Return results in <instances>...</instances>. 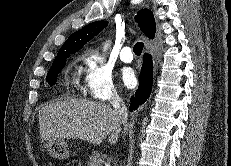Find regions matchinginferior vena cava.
Here are the masks:
<instances>
[{"label":"inferior vena cava","instance_id":"obj_1","mask_svg":"<svg viewBox=\"0 0 231 166\" xmlns=\"http://www.w3.org/2000/svg\"><path fill=\"white\" fill-rule=\"evenodd\" d=\"M111 104L114 107L115 112L122 118V122L125 125L126 130L128 112L125 103L117 93H114L111 97Z\"/></svg>","mask_w":231,"mask_h":166}]
</instances>
